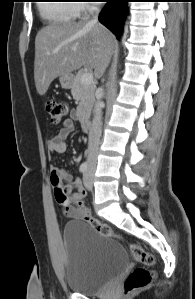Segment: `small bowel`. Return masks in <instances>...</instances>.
<instances>
[{
    "mask_svg": "<svg viewBox=\"0 0 195 299\" xmlns=\"http://www.w3.org/2000/svg\"><path fill=\"white\" fill-rule=\"evenodd\" d=\"M76 119V111L72 110L70 115L62 120L59 132L49 139L47 143L48 150L55 153H64L67 149L66 138L74 130V121ZM60 179L67 184L64 186L72 201L82 200L86 196V190L82 186L80 179H74L71 174L65 170L53 166L51 168V182L54 184ZM61 183V182H60ZM62 184V183H61ZM74 191V192H73ZM64 214L67 217L78 218L77 209L73 203L61 205Z\"/></svg>",
    "mask_w": 195,
    "mask_h": 299,
    "instance_id": "obj_1",
    "label": "small bowel"
}]
</instances>
